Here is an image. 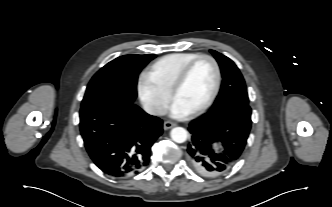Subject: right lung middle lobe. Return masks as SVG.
Listing matches in <instances>:
<instances>
[{"instance_id":"1","label":"right lung middle lobe","mask_w":332,"mask_h":207,"mask_svg":"<svg viewBox=\"0 0 332 207\" xmlns=\"http://www.w3.org/2000/svg\"><path fill=\"white\" fill-rule=\"evenodd\" d=\"M155 55H124L102 67L89 82L81 107L117 99L133 103L140 71Z\"/></svg>"}]
</instances>
